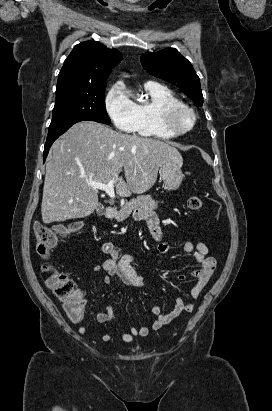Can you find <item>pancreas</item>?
<instances>
[{"label": "pancreas", "mask_w": 272, "mask_h": 411, "mask_svg": "<svg viewBox=\"0 0 272 411\" xmlns=\"http://www.w3.org/2000/svg\"><path fill=\"white\" fill-rule=\"evenodd\" d=\"M158 202L153 200L150 195H140L126 202L124 206L117 212L115 219L117 222H122L127 219L133 211L140 209H157Z\"/></svg>", "instance_id": "pancreas-1"}]
</instances>
